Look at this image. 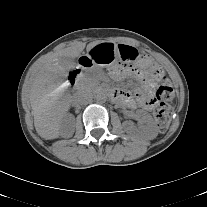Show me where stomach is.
Here are the masks:
<instances>
[{
  "mask_svg": "<svg viewBox=\"0 0 207 207\" xmlns=\"http://www.w3.org/2000/svg\"><path fill=\"white\" fill-rule=\"evenodd\" d=\"M86 57L97 67L115 70L120 63L133 62L142 56L138 51L125 44L103 41L87 51Z\"/></svg>",
  "mask_w": 207,
  "mask_h": 207,
  "instance_id": "obj_1",
  "label": "stomach"
}]
</instances>
